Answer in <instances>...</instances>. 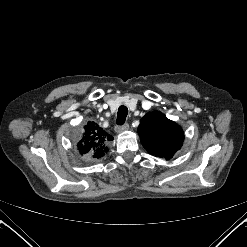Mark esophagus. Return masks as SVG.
<instances>
[{
    "instance_id": "esophagus-1",
    "label": "esophagus",
    "mask_w": 247,
    "mask_h": 247,
    "mask_svg": "<svg viewBox=\"0 0 247 247\" xmlns=\"http://www.w3.org/2000/svg\"><path fill=\"white\" fill-rule=\"evenodd\" d=\"M129 129V125L126 123V124H124V125H122V126H116L115 127V131L117 132V133H122V132H125V131H127Z\"/></svg>"
}]
</instances>
